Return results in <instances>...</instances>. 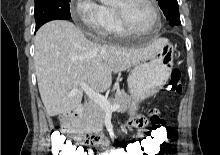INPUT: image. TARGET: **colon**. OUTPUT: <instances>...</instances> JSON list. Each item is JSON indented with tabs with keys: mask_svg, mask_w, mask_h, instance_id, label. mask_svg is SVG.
I'll use <instances>...</instances> for the list:
<instances>
[{
	"mask_svg": "<svg viewBox=\"0 0 220 155\" xmlns=\"http://www.w3.org/2000/svg\"><path fill=\"white\" fill-rule=\"evenodd\" d=\"M166 89L174 93L182 91L181 73L178 69L171 72L170 79L167 83ZM151 122L146 125L148 135H144V139H132L128 142L123 151L126 155H160L163 144H170L169 129L166 120L158 113L153 112L151 115ZM54 148L52 154L54 155H91L98 149H102L105 145H86L83 149L81 143H69L60 135L53 139ZM91 140V139H87ZM114 155H120V150H114Z\"/></svg>",
	"mask_w": 220,
	"mask_h": 155,
	"instance_id": "5ec220e1",
	"label": "colon"
}]
</instances>
